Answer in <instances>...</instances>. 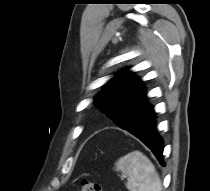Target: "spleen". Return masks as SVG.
Here are the masks:
<instances>
[{
    "mask_svg": "<svg viewBox=\"0 0 210 191\" xmlns=\"http://www.w3.org/2000/svg\"><path fill=\"white\" fill-rule=\"evenodd\" d=\"M116 170L128 177L129 191H161L162 184L151 161L141 152L134 151L121 157L115 164Z\"/></svg>",
    "mask_w": 210,
    "mask_h": 191,
    "instance_id": "spleen-1",
    "label": "spleen"
}]
</instances>
